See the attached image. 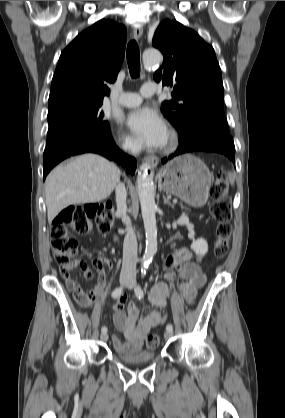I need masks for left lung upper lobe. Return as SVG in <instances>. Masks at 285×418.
Wrapping results in <instances>:
<instances>
[{"label":"left lung upper lobe","mask_w":285,"mask_h":418,"mask_svg":"<svg viewBox=\"0 0 285 418\" xmlns=\"http://www.w3.org/2000/svg\"><path fill=\"white\" fill-rule=\"evenodd\" d=\"M152 44L164 57L154 80L173 88V99L164 101L161 110L177 129L179 143L208 131L229 134L213 47L192 29L168 19L159 24Z\"/></svg>","instance_id":"1"}]
</instances>
